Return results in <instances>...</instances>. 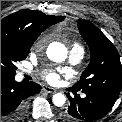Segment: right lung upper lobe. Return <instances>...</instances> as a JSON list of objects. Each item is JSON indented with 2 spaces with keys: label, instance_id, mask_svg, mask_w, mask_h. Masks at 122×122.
Masks as SVG:
<instances>
[{
  "label": "right lung upper lobe",
  "instance_id": "cb5924a9",
  "mask_svg": "<svg viewBox=\"0 0 122 122\" xmlns=\"http://www.w3.org/2000/svg\"><path fill=\"white\" fill-rule=\"evenodd\" d=\"M64 20L37 10H20L1 20V37L32 43L48 27Z\"/></svg>",
  "mask_w": 122,
  "mask_h": 122
}]
</instances>
